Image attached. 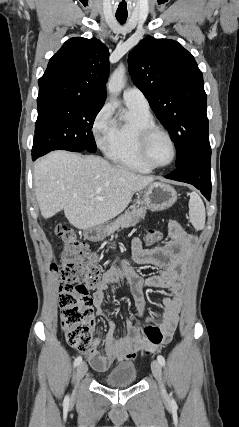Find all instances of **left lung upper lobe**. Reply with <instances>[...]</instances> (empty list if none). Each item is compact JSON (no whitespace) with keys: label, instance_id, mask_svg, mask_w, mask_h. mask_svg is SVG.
I'll use <instances>...</instances> for the list:
<instances>
[{"label":"left lung upper lobe","instance_id":"left-lung-upper-lobe-1","mask_svg":"<svg viewBox=\"0 0 239 427\" xmlns=\"http://www.w3.org/2000/svg\"><path fill=\"white\" fill-rule=\"evenodd\" d=\"M135 85L169 131L176 147V167L210 149L207 96L202 72L177 41L147 36L129 54Z\"/></svg>","mask_w":239,"mask_h":427}]
</instances>
